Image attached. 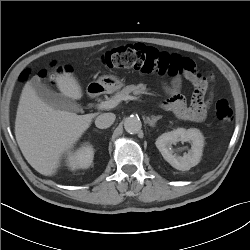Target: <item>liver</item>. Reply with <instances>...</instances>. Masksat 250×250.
I'll use <instances>...</instances> for the list:
<instances>
[{
    "label": "liver",
    "mask_w": 250,
    "mask_h": 250,
    "mask_svg": "<svg viewBox=\"0 0 250 250\" xmlns=\"http://www.w3.org/2000/svg\"><path fill=\"white\" fill-rule=\"evenodd\" d=\"M56 85L68 98L78 100L83 96L81 86L71 73L58 74ZM96 116V113L77 115L54 109L38 96L29 82L22 90L17 108L16 140L27 162L40 174L52 176L60 166L62 156Z\"/></svg>",
    "instance_id": "1"
}]
</instances>
